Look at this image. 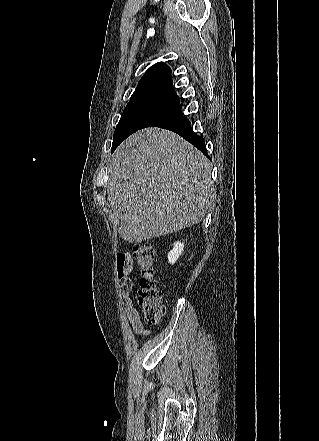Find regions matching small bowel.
Instances as JSON below:
<instances>
[{"instance_id": "obj_1", "label": "small bowel", "mask_w": 319, "mask_h": 441, "mask_svg": "<svg viewBox=\"0 0 319 441\" xmlns=\"http://www.w3.org/2000/svg\"><path fill=\"white\" fill-rule=\"evenodd\" d=\"M131 255L129 253H121L117 256V264L124 270V283L121 285V298L126 312L127 319L134 330L138 334L148 332L143 326L139 312L134 307L130 292L132 291V265L130 263Z\"/></svg>"}]
</instances>
